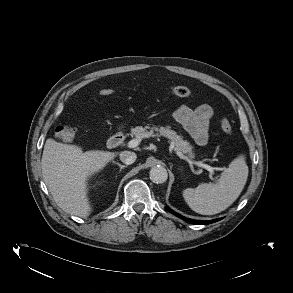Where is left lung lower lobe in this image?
<instances>
[{
  "instance_id": "left-lung-lower-lobe-1",
  "label": "left lung lower lobe",
  "mask_w": 293,
  "mask_h": 293,
  "mask_svg": "<svg viewBox=\"0 0 293 293\" xmlns=\"http://www.w3.org/2000/svg\"><path fill=\"white\" fill-rule=\"evenodd\" d=\"M172 214L180 217L181 219L185 220L186 222L188 223H191V224H210V223H213V222H216L220 219H214V220H211V221H197V220H193V219H186L185 217L175 213L174 211H172L171 209H168Z\"/></svg>"
}]
</instances>
